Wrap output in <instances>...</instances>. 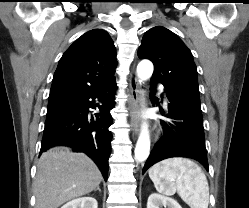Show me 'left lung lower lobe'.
I'll return each mask as SVG.
<instances>
[{
	"label": "left lung lower lobe",
	"mask_w": 249,
	"mask_h": 208,
	"mask_svg": "<svg viewBox=\"0 0 249 208\" xmlns=\"http://www.w3.org/2000/svg\"><path fill=\"white\" fill-rule=\"evenodd\" d=\"M159 82L151 80V93ZM168 110H160L168 120H161L164 132L161 140L152 149L143 173L155 163L171 157L193 158L208 170L203 119L200 103L194 102L165 88Z\"/></svg>",
	"instance_id": "obj_1"
}]
</instances>
